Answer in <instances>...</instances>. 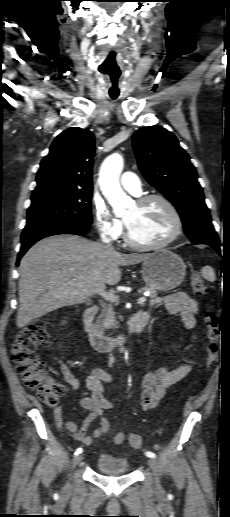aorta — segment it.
I'll list each match as a JSON object with an SVG mask.
<instances>
[{
    "label": "aorta",
    "instance_id": "aorta-1",
    "mask_svg": "<svg viewBox=\"0 0 230 517\" xmlns=\"http://www.w3.org/2000/svg\"><path fill=\"white\" fill-rule=\"evenodd\" d=\"M123 164L124 161L120 154H111L102 163L99 173L100 189L115 213L122 212L130 201L119 183Z\"/></svg>",
    "mask_w": 230,
    "mask_h": 517
}]
</instances>
